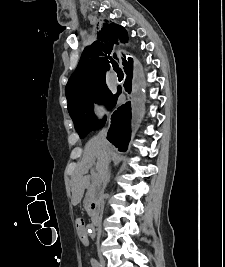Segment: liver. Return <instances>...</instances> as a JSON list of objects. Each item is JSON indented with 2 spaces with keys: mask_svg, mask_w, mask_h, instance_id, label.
Instances as JSON below:
<instances>
[{
  "mask_svg": "<svg viewBox=\"0 0 225 267\" xmlns=\"http://www.w3.org/2000/svg\"><path fill=\"white\" fill-rule=\"evenodd\" d=\"M107 155H111V147L108 144L107 148L92 138L85 146L81 161L77 164L73 183H72V203L77 205L81 202L85 187L89 181V177L85 176L91 165H96L97 175L99 176L106 164Z\"/></svg>",
  "mask_w": 225,
  "mask_h": 267,
  "instance_id": "1",
  "label": "liver"
}]
</instances>
